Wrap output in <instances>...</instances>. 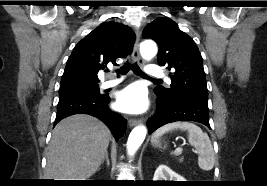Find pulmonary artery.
I'll return each mask as SVG.
<instances>
[{
    "label": "pulmonary artery",
    "instance_id": "obj_1",
    "mask_svg": "<svg viewBox=\"0 0 267 186\" xmlns=\"http://www.w3.org/2000/svg\"><path fill=\"white\" fill-rule=\"evenodd\" d=\"M146 73L153 77L164 76L163 68L156 64L148 65L145 69ZM123 78L106 79L101 83L102 88H109L119 83Z\"/></svg>",
    "mask_w": 267,
    "mask_h": 186
}]
</instances>
